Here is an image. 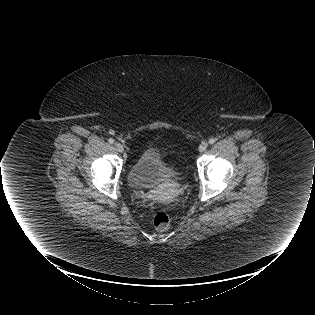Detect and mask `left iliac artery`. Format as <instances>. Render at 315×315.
Masks as SVG:
<instances>
[{
    "mask_svg": "<svg viewBox=\"0 0 315 315\" xmlns=\"http://www.w3.org/2000/svg\"><path fill=\"white\" fill-rule=\"evenodd\" d=\"M215 141H216V139H210L209 144H213V143H215Z\"/></svg>",
    "mask_w": 315,
    "mask_h": 315,
    "instance_id": "1",
    "label": "left iliac artery"
}]
</instances>
